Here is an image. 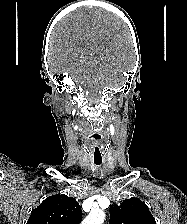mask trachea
Instances as JSON below:
<instances>
[{
  "label": "trachea",
  "mask_w": 187,
  "mask_h": 224,
  "mask_svg": "<svg viewBox=\"0 0 187 224\" xmlns=\"http://www.w3.org/2000/svg\"><path fill=\"white\" fill-rule=\"evenodd\" d=\"M96 165H100L102 162H94Z\"/></svg>",
  "instance_id": "obj_1"
}]
</instances>
